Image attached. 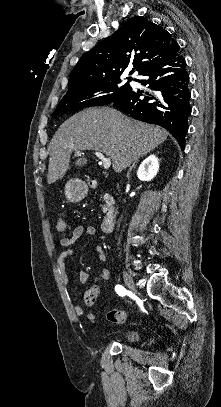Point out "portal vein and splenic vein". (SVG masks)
<instances>
[{
  "label": "portal vein and splenic vein",
  "instance_id": "1",
  "mask_svg": "<svg viewBox=\"0 0 221 407\" xmlns=\"http://www.w3.org/2000/svg\"><path fill=\"white\" fill-rule=\"evenodd\" d=\"M76 155L80 156L82 154V151L77 150ZM95 155L96 157H98L101 160V163L103 165L104 169H109V167L111 166V160L110 158H106L101 152L99 151H95Z\"/></svg>",
  "mask_w": 221,
  "mask_h": 407
}]
</instances>
